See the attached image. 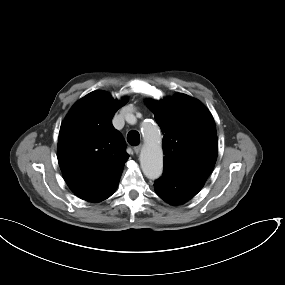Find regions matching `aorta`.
Here are the masks:
<instances>
[{"instance_id":"obj_1","label":"aorta","mask_w":285,"mask_h":285,"mask_svg":"<svg viewBox=\"0 0 285 285\" xmlns=\"http://www.w3.org/2000/svg\"><path fill=\"white\" fill-rule=\"evenodd\" d=\"M144 146L140 153V165L148 179H157L163 172V150L159 127L151 122L142 123Z\"/></svg>"}]
</instances>
